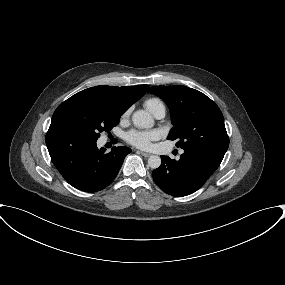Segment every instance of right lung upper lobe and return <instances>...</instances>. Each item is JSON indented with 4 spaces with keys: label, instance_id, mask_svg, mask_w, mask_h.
<instances>
[{
    "label": "right lung upper lobe",
    "instance_id": "cb5924a9",
    "mask_svg": "<svg viewBox=\"0 0 285 285\" xmlns=\"http://www.w3.org/2000/svg\"><path fill=\"white\" fill-rule=\"evenodd\" d=\"M148 85L140 86H95L78 92L63 104L67 103H97L103 104L122 114L148 89Z\"/></svg>",
    "mask_w": 285,
    "mask_h": 285
}]
</instances>
